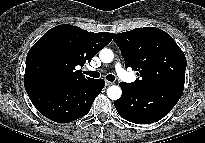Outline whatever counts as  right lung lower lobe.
<instances>
[{
    "label": "right lung lower lobe",
    "instance_id": "98d812e1",
    "mask_svg": "<svg viewBox=\"0 0 205 143\" xmlns=\"http://www.w3.org/2000/svg\"><path fill=\"white\" fill-rule=\"evenodd\" d=\"M104 84L103 79L72 84L52 80L24 82L36 109L58 123H69L86 115Z\"/></svg>",
    "mask_w": 205,
    "mask_h": 143
}]
</instances>
